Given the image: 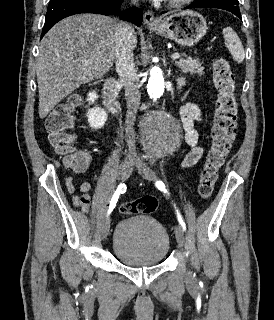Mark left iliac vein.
Segmentation results:
<instances>
[{
	"instance_id": "obj_1",
	"label": "left iliac vein",
	"mask_w": 274,
	"mask_h": 320,
	"mask_svg": "<svg viewBox=\"0 0 274 320\" xmlns=\"http://www.w3.org/2000/svg\"><path fill=\"white\" fill-rule=\"evenodd\" d=\"M138 172L144 179L148 181H154L156 179L155 172L145 165H138ZM175 236L179 246L183 248L185 245V235L181 225H177L175 227Z\"/></svg>"
}]
</instances>
